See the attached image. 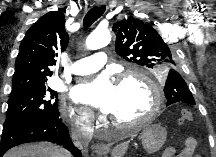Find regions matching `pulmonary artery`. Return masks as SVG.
<instances>
[{"label":"pulmonary artery","instance_id":"1","mask_svg":"<svg viewBox=\"0 0 216 157\" xmlns=\"http://www.w3.org/2000/svg\"><path fill=\"white\" fill-rule=\"evenodd\" d=\"M105 52H97L91 56L75 61L72 65V72L76 75H86L99 71L107 62Z\"/></svg>","mask_w":216,"mask_h":157}]
</instances>
